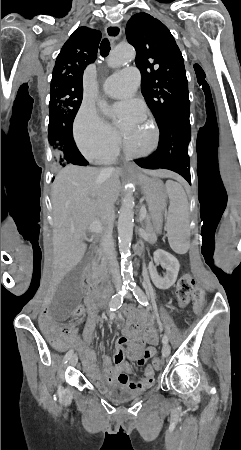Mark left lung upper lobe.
I'll return each instance as SVG.
<instances>
[{"label": "left lung upper lobe", "instance_id": "left-lung-upper-lobe-1", "mask_svg": "<svg viewBox=\"0 0 241 450\" xmlns=\"http://www.w3.org/2000/svg\"><path fill=\"white\" fill-rule=\"evenodd\" d=\"M128 42L136 50L141 91L159 124L181 107H189L188 81L182 54L168 30L153 16L141 12L126 25Z\"/></svg>", "mask_w": 241, "mask_h": 450}]
</instances>
